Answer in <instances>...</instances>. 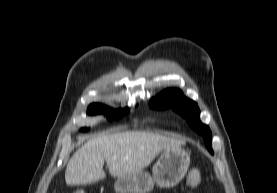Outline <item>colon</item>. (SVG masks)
Instances as JSON below:
<instances>
[{"label":"colon","mask_w":277,"mask_h":193,"mask_svg":"<svg viewBox=\"0 0 277 193\" xmlns=\"http://www.w3.org/2000/svg\"><path fill=\"white\" fill-rule=\"evenodd\" d=\"M201 182V172L198 169H192L187 177L186 186L189 189L196 187ZM74 193H86L84 190H77Z\"/></svg>","instance_id":"obj_1"}]
</instances>
